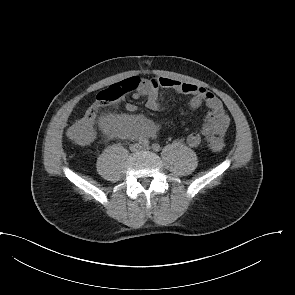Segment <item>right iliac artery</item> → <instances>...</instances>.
Masks as SVG:
<instances>
[{"instance_id": "82829eb1", "label": "right iliac artery", "mask_w": 295, "mask_h": 295, "mask_svg": "<svg viewBox=\"0 0 295 295\" xmlns=\"http://www.w3.org/2000/svg\"><path fill=\"white\" fill-rule=\"evenodd\" d=\"M140 144H142L143 146H148L149 145V141L147 139H142L140 141Z\"/></svg>"}]
</instances>
